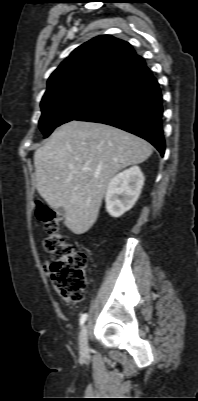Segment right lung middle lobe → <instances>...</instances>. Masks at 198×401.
Masks as SVG:
<instances>
[{"instance_id": "1", "label": "right lung middle lobe", "mask_w": 198, "mask_h": 401, "mask_svg": "<svg viewBox=\"0 0 198 401\" xmlns=\"http://www.w3.org/2000/svg\"><path fill=\"white\" fill-rule=\"evenodd\" d=\"M105 86H83L42 99L39 128L45 137L61 124L76 119L95 106L106 93Z\"/></svg>"}]
</instances>
